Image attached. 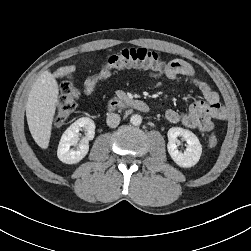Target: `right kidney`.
<instances>
[{"mask_svg": "<svg viewBox=\"0 0 251 251\" xmlns=\"http://www.w3.org/2000/svg\"><path fill=\"white\" fill-rule=\"evenodd\" d=\"M84 130L86 136L79 141L80 131ZM95 123L92 119L82 117L76 120L63 133L57 150V156L60 161L66 164H75L81 161L89 151V140L94 138ZM76 146L77 149L71 148Z\"/></svg>", "mask_w": 251, "mask_h": 251, "instance_id": "obj_1", "label": "right kidney"}]
</instances>
